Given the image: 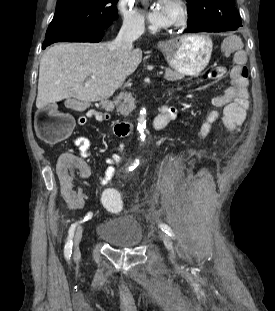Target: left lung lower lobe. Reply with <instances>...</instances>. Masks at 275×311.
<instances>
[{
	"label": "left lung lower lobe",
	"instance_id": "1",
	"mask_svg": "<svg viewBox=\"0 0 275 311\" xmlns=\"http://www.w3.org/2000/svg\"><path fill=\"white\" fill-rule=\"evenodd\" d=\"M238 28L225 26L221 22L209 21L202 24H195L188 26L185 32H223V31H234Z\"/></svg>",
	"mask_w": 275,
	"mask_h": 311
}]
</instances>
